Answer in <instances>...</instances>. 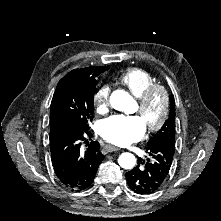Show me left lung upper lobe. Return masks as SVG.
Masks as SVG:
<instances>
[{
  "label": "left lung upper lobe",
  "instance_id": "1",
  "mask_svg": "<svg viewBox=\"0 0 221 221\" xmlns=\"http://www.w3.org/2000/svg\"><path fill=\"white\" fill-rule=\"evenodd\" d=\"M170 103L169 118L157 134L148 141V147L155 146L161 142H169L175 145V101L173 96L170 97Z\"/></svg>",
  "mask_w": 221,
  "mask_h": 221
}]
</instances>
